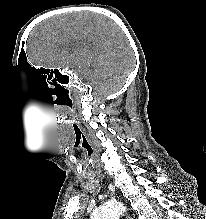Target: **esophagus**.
<instances>
[{
    "label": "esophagus",
    "instance_id": "esophagus-1",
    "mask_svg": "<svg viewBox=\"0 0 206 219\" xmlns=\"http://www.w3.org/2000/svg\"><path fill=\"white\" fill-rule=\"evenodd\" d=\"M125 219H133L130 215H126Z\"/></svg>",
    "mask_w": 206,
    "mask_h": 219
}]
</instances>
